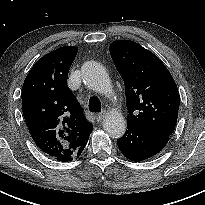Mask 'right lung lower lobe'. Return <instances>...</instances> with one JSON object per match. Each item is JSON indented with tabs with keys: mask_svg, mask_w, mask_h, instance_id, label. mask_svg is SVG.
<instances>
[{
	"mask_svg": "<svg viewBox=\"0 0 205 205\" xmlns=\"http://www.w3.org/2000/svg\"><path fill=\"white\" fill-rule=\"evenodd\" d=\"M86 143H87V142H86ZM86 143L79 149L77 156H80V154H81V152L83 151V149H84Z\"/></svg>",
	"mask_w": 205,
	"mask_h": 205,
	"instance_id": "right-lung-lower-lobe-1",
	"label": "right lung lower lobe"
}]
</instances>
